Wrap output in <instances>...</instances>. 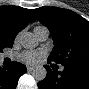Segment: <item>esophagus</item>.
Wrapping results in <instances>:
<instances>
[{
	"label": "esophagus",
	"mask_w": 89,
	"mask_h": 89,
	"mask_svg": "<svg viewBox=\"0 0 89 89\" xmlns=\"http://www.w3.org/2000/svg\"><path fill=\"white\" fill-rule=\"evenodd\" d=\"M27 71H28V72H32V71H33V67L27 66Z\"/></svg>",
	"instance_id": "esophagus-1"
}]
</instances>
